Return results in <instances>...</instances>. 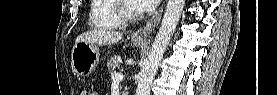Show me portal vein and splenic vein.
Returning <instances> with one entry per match:
<instances>
[{
    "label": "portal vein and splenic vein",
    "instance_id": "obj_1",
    "mask_svg": "<svg viewBox=\"0 0 277 95\" xmlns=\"http://www.w3.org/2000/svg\"><path fill=\"white\" fill-rule=\"evenodd\" d=\"M113 80H122L123 74L120 72H114L111 74Z\"/></svg>",
    "mask_w": 277,
    "mask_h": 95
}]
</instances>
